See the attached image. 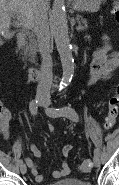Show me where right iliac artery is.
<instances>
[{"mask_svg": "<svg viewBox=\"0 0 119 185\" xmlns=\"http://www.w3.org/2000/svg\"><path fill=\"white\" fill-rule=\"evenodd\" d=\"M29 109L32 115H36L37 114V109H38V100H32L29 104ZM23 163V160L20 159L18 160V164L21 165Z\"/></svg>", "mask_w": 119, "mask_h": 185, "instance_id": "82829eb1", "label": "right iliac artery"}]
</instances>
